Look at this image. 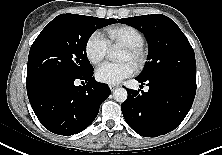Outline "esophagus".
I'll list each match as a JSON object with an SVG mask.
<instances>
[{
    "label": "esophagus",
    "instance_id": "1",
    "mask_svg": "<svg viewBox=\"0 0 222 155\" xmlns=\"http://www.w3.org/2000/svg\"><path fill=\"white\" fill-rule=\"evenodd\" d=\"M118 86L117 85H109L111 91H114Z\"/></svg>",
    "mask_w": 222,
    "mask_h": 155
}]
</instances>
